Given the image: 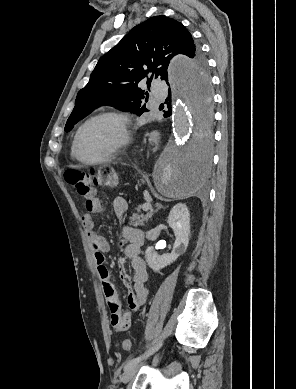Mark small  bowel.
<instances>
[{
	"label": "small bowel",
	"instance_id": "obj_1",
	"mask_svg": "<svg viewBox=\"0 0 296 389\" xmlns=\"http://www.w3.org/2000/svg\"><path fill=\"white\" fill-rule=\"evenodd\" d=\"M112 208L114 213L122 219L127 213L128 204L124 198L116 197L112 202ZM84 209L82 225L91 244L97 273L110 311L111 326L116 332H123L130 327L133 313L146 304L150 295L146 286L148 279L146 263L140 256L144 235L134 227L124 226L122 228L120 244L125 245L124 254L131 261L134 272L132 280L127 277L125 271L122 270L121 272L129 289L127 296L129 310L122 312L121 304L110 280L109 271L105 266V253L109 251L110 244L105 237L99 235L95 230L94 214L103 211L101 199L91 192L89 196L85 197Z\"/></svg>",
	"mask_w": 296,
	"mask_h": 389
}]
</instances>
